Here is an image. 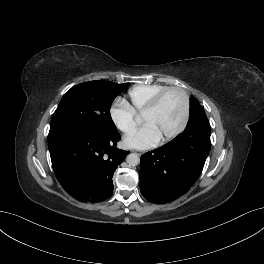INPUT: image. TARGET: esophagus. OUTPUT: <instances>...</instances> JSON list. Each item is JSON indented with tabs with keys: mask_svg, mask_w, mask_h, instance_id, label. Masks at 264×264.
I'll return each instance as SVG.
<instances>
[{
	"mask_svg": "<svg viewBox=\"0 0 264 264\" xmlns=\"http://www.w3.org/2000/svg\"><path fill=\"white\" fill-rule=\"evenodd\" d=\"M133 152L137 153L138 155L143 154V152H141V151H134V150H133Z\"/></svg>",
	"mask_w": 264,
	"mask_h": 264,
	"instance_id": "esophagus-1",
	"label": "esophagus"
}]
</instances>
